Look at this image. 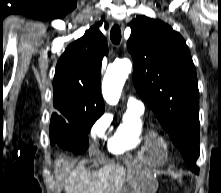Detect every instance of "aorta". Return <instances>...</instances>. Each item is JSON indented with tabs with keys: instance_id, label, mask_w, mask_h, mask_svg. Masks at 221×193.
<instances>
[{
	"instance_id": "762f6f07",
	"label": "aorta",
	"mask_w": 221,
	"mask_h": 193,
	"mask_svg": "<svg viewBox=\"0 0 221 193\" xmlns=\"http://www.w3.org/2000/svg\"><path fill=\"white\" fill-rule=\"evenodd\" d=\"M131 69L132 63L129 59L116 61L107 69L102 82V94L108 104L116 105L118 103Z\"/></svg>"
}]
</instances>
